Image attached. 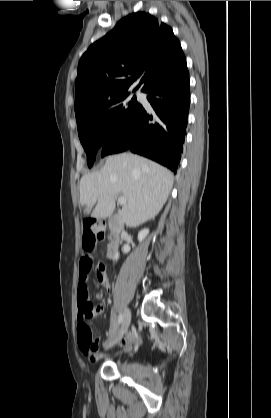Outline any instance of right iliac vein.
Here are the masks:
<instances>
[{
	"instance_id": "63e3f726",
	"label": "right iliac vein",
	"mask_w": 271,
	"mask_h": 418,
	"mask_svg": "<svg viewBox=\"0 0 271 418\" xmlns=\"http://www.w3.org/2000/svg\"><path fill=\"white\" fill-rule=\"evenodd\" d=\"M130 322H131V312L129 309H126L124 311L121 328L115 338L106 342L105 344L106 349L113 347L123 337V335L126 333V331L129 328Z\"/></svg>"
}]
</instances>
